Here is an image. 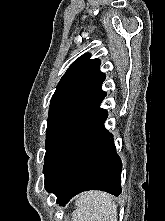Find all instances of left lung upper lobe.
<instances>
[{"mask_svg": "<svg viewBox=\"0 0 165 221\" xmlns=\"http://www.w3.org/2000/svg\"><path fill=\"white\" fill-rule=\"evenodd\" d=\"M86 53L76 59L61 78L50 101L44 160L59 139L106 96L101 89L105 74L99 59Z\"/></svg>", "mask_w": 165, "mask_h": 221, "instance_id": "5c2ea615", "label": "left lung upper lobe"}]
</instances>
